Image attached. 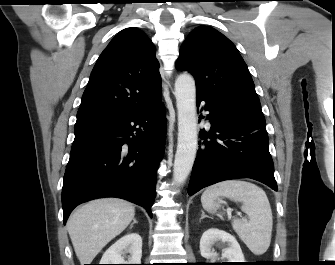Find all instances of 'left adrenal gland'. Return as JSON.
<instances>
[{
  "instance_id": "1",
  "label": "left adrenal gland",
  "mask_w": 335,
  "mask_h": 265,
  "mask_svg": "<svg viewBox=\"0 0 335 265\" xmlns=\"http://www.w3.org/2000/svg\"><path fill=\"white\" fill-rule=\"evenodd\" d=\"M201 212H202L201 219L208 217L203 210H201Z\"/></svg>"
}]
</instances>
